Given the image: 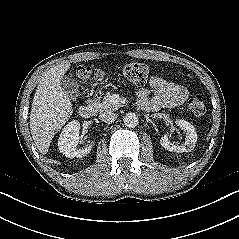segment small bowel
I'll return each mask as SVG.
<instances>
[{
  "label": "small bowel",
  "instance_id": "obj_1",
  "mask_svg": "<svg viewBox=\"0 0 239 239\" xmlns=\"http://www.w3.org/2000/svg\"><path fill=\"white\" fill-rule=\"evenodd\" d=\"M153 95L145 88L138 91L139 104L145 110H158L181 104L188 96V90L178 84L170 83L160 76H153L150 80Z\"/></svg>",
  "mask_w": 239,
  "mask_h": 239
}]
</instances>
